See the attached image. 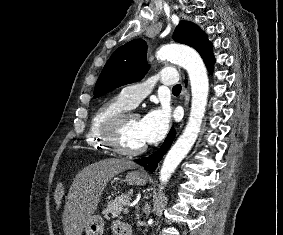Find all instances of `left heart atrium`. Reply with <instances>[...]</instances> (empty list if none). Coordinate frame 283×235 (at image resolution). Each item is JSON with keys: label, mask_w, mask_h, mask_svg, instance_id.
I'll list each match as a JSON object with an SVG mask.
<instances>
[{"label": "left heart atrium", "mask_w": 283, "mask_h": 235, "mask_svg": "<svg viewBox=\"0 0 283 235\" xmlns=\"http://www.w3.org/2000/svg\"><path fill=\"white\" fill-rule=\"evenodd\" d=\"M170 115L166 107L148 112L139 121V129L144 143H155L162 139L169 127Z\"/></svg>", "instance_id": "1"}]
</instances>
